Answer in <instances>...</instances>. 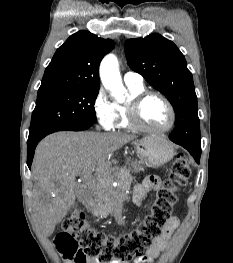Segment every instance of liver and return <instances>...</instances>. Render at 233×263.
<instances>
[{
  "mask_svg": "<svg viewBox=\"0 0 233 263\" xmlns=\"http://www.w3.org/2000/svg\"><path fill=\"white\" fill-rule=\"evenodd\" d=\"M136 138L126 133L57 132L38 144L32 164L33 198L46 237L76 200V175L95 170L99 179L111 181V154Z\"/></svg>",
  "mask_w": 233,
  "mask_h": 263,
  "instance_id": "obj_1",
  "label": "liver"
}]
</instances>
